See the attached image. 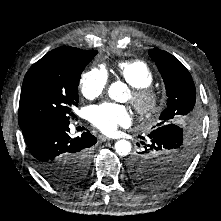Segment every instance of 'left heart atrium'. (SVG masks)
<instances>
[{
  "label": "left heart atrium",
  "instance_id": "1",
  "mask_svg": "<svg viewBox=\"0 0 221 221\" xmlns=\"http://www.w3.org/2000/svg\"><path fill=\"white\" fill-rule=\"evenodd\" d=\"M90 122L106 134H111L119 126H126L131 121L129 110L122 105L103 103L89 109Z\"/></svg>",
  "mask_w": 221,
  "mask_h": 221
}]
</instances>
